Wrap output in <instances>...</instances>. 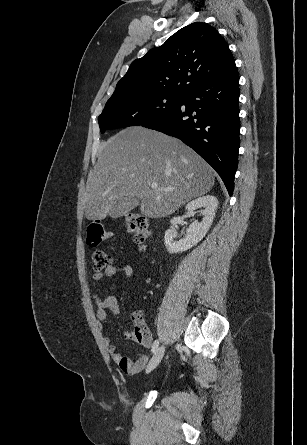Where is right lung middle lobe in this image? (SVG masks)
Masks as SVG:
<instances>
[{"label":"right lung middle lobe","mask_w":307,"mask_h":445,"mask_svg":"<svg viewBox=\"0 0 307 445\" xmlns=\"http://www.w3.org/2000/svg\"><path fill=\"white\" fill-rule=\"evenodd\" d=\"M182 95L150 94L111 97L98 118L100 131L144 125L176 108Z\"/></svg>","instance_id":"1"}]
</instances>
